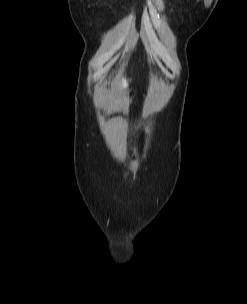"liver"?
Here are the masks:
<instances>
[{
    "label": "liver",
    "mask_w": 247,
    "mask_h": 304,
    "mask_svg": "<svg viewBox=\"0 0 247 304\" xmlns=\"http://www.w3.org/2000/svg\"><path fill=\"white\" fill-rule=\"evenodd\" d=\"M123 86H127L126 80H123Z\"/></svg>",
    "instance_id": "liver-1"
}]
</instances>
